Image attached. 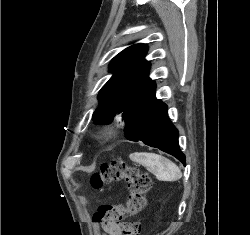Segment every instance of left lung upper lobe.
Here are the masks:
<instances>
[{"label": "left lung upper lobe", "instance_id": "obj_1", "mask_svg": "<svg viewBox=\"0 0 250 235\" xmlns=\"http://www.w3.org/2000/svg\"><path fill=\"white\" fill-rule=\"evenodd\" d=\"M146 52L145 44H135L113 58L109 68L113 76L100 90V105L93 113L96 123H110L116 114L127 120L133 104L151 82Z\"/></svg>", "mask_w": 250, "mask_h": 235}]
</instances>
